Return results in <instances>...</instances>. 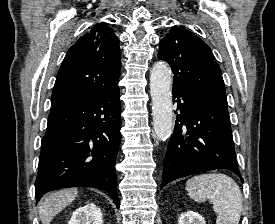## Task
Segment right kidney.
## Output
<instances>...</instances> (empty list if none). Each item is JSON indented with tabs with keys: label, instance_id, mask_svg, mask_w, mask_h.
Wrapping results in <instances>:
<instances>
[{
	"label": "right kidney",
	"instance_id": "1",
	"mask_svg": "<svg viewBox=\"0 0 275 224\" xmlns=\"http://www.w3.org/2000/svg\"><path fill=\"white\" fill-rule=\"evenodd\" d=\"M68 224H103L102 212L93 203L76 209Z\"/></svg>",
	"mask_w": 275,
	"mask_h": 224
}]
</instances>
